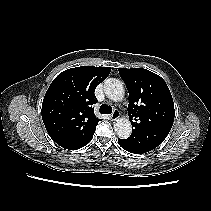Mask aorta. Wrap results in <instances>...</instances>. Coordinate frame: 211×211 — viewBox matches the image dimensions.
<instances>
[{"label":"aorta","mask_w":211,"mask_h":211,"mask_svg":"<svg viewBox=\"0 0 211 211\" xmlns=\"http://www.w3.org/2000/svg\"><path fill=\"white\" fill-rule=\"evenodd\" d=\"M104 92L109 99L120 101L124 97L125 90L120 80L108 78L104 82ZM114 130L119 138L127 139L132 132L131 122L127 118H120L116 120Z\"/></svg>","instance_id":"762f6f07"}]
</instances>
